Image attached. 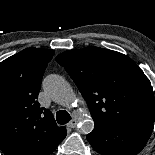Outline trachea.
Masks as SVG:
<instances>
[{
  "instance_id": "obj_1",
  "label": "trachea",
  "mask_w": 155,
  "mask_h": 155,
  "mask_svg": "<svg viewBox=\"0 0 155 155\" xmlns=\"http://www.w3.org/2000/svg\"><path fill=\"white\" fill-rule=\"evenodd\" d=\"M56 120L58 124H66L71 120L70 114L65 110H60L56 113Z\"/></svg>"
}]
</instances>
